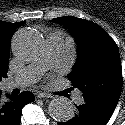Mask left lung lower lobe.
I'll return each mask as SVG.
<instances>
[{
    "mask_svg": "<svg viewBox=\"0 0 125 125\" xmlns=\"http://www.w3.org/2000/svg\"><path fill=\"white\" fill-rule=\"evenodd\" d=\"M75 106L77 108L75 116L66 122H58V125H106L116 107L114 104L86 102Z\"/></svg>",
    "mask_w": 125,
    "mask_h": 125,
    "instance_id": "1",
    "label": "left lung lower lobe"
}]
</instances>
